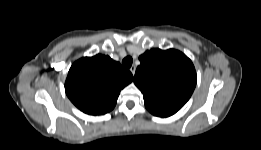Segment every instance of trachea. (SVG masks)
Wrapping results in <instances>:
<instances>
[{
	"instance_id": "3493384b",
	"label": "trachea",
	"mask_w": 261,
	"mask_h": 150,
	"mask_svg": "<svg viewBox=\"0 0 261 150\" xmlns=\"http://www.w3.org/2000/svg\"><path fill=\"white\" fill-rule=\"evenodd\" d=\"M133 63V60L130 56H127L125 57L123 60H122V65L126 68H130L131 65Z\"/></svg>"
}]
</instances>
